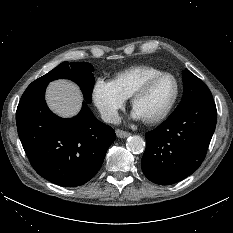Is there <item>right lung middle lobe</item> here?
<instances>
[{"instance_id": "1", "label": "right lung middle lobe", "mask_w": 233, "mask_h": 233, "mask_svg": "<svg viewBox=\"0 0 233 233\" xmlns=\"http://www.w3.org/2000/svg\"><path fill=\"white\" fill-rule=\"evenodd\" d=\"M94 68L87 62L69 63L63 62L46 75L38 78L36 83H49L59 78L70 79L80 85L85 100L90 103L94 85Z\"/></svg>"}]
</instances>
